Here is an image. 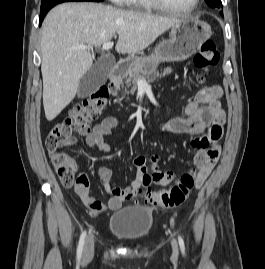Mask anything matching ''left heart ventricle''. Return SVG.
<instances>
[{"instance_id":"obj_1","label":"left heart ventricle","mask_w":265,"mask_h":269,"mask_svg":"<svg viewBox=\"0 0 265 269\" xmlns=\"http://www.w3.org/2000/svg\"><path fill=\"white\" fill-rule=\"evenodd\" d=\"M169 6L179 8V9H186L189 8L194 0H162Z\"/></svg>"}]
</instances>
